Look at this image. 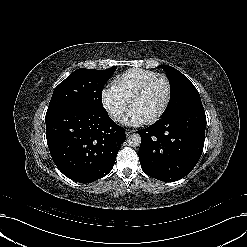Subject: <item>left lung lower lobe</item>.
<instances>
[{
    "label": "left lung lower lobe",
    "instance_id": "1",
    "mask_svg": "<svg viewBox=\"0 0 247 247\" xmlns=\"http://www.w3.org/2000/svg\"><path fill=\"white\" fill-rule=\"evenodd\" d=\"M206 115L195 104L139 130V160L142 170L161 181H177L199 161L205 140Z\"/></svg>",
    "mask_w": 247,
    "mask_h": 247
}]
</instances>
